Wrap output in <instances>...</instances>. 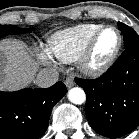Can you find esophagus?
Instances as JSON below:
<instances>
[{
	"label": "esophagus",
	"instance_id": "34e87169",
	"mask_svg": "<svg viewBox=\"0 0 139 139\" xmlns=\"http://www.w3.org/2000/svg\"><path fill=\"white\" fill-rule=\"evenodd\" d=\"M75 82L74 79L72 77H68L65 80V85L67 88H71L72 86H74Z\"/></svg>",
	"mask_w": 139,
	"mask_h": 139
}]
</instances>
